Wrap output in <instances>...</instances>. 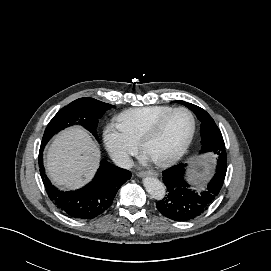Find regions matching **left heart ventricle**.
I'll return each mask as SVG.
<instances>
[{
  "label": "left heart ventricle",
  "mask_w": 271,
  "mask_h": 271,
  "mask_svg": "<svg viewBox=\"0 0 271 271\" xmlns=\"http://www.w3.org/2000/svg\"><path fill=\"white\" fill-rule=\"evenodd\" d=\"M192 129L188 113L179 111L171 115L159 133L148 143L145 153L153 159H163L176 153L187 141Z\"/></svg>",
  "instance_id": "left-heart-ventricle-1"
}]
</instances>
